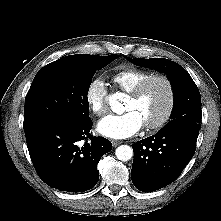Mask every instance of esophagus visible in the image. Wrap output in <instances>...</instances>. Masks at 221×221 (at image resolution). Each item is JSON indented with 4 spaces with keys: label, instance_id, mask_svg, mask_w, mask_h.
I'll use <instances>...</instances> for the list:
<instances>
[{
    "label": "esophagus",
    "instance_id": "obj_1",
    "mask_svg": "<svg viewBox=\"0 0 221 221\" xmlns=\"http://www.w3.org/2000/svg\"><path fill=\"white\" fill-rule=\"evenodd\" d=\"M122 143V141H118V140H113L112 141V145L114 146V147H117L118 145H120Z\"/></svg>",
    "mask_w": 221,
    "mask_h": 221
}]
</instances>
